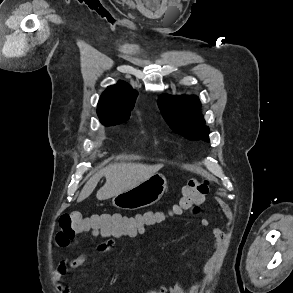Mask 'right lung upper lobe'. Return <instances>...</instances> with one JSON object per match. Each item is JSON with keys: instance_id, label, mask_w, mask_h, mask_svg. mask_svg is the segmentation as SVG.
Here are the masks:
<instances>
[{"instance_id": "1", "label": "right lung upper lobe", "mask_w": 293, "mask_h": 293, "mask_svg": "<svg viewBox=\"0 0 293 293\" xmlns=\"http://www.w3.org/2000/svg\"><path fill=\"white\" fill-rule=\"evenodd\" d=\"M137 92L127 83L120 81L109 86L102 94L98 103V116L100 119L116 116H129L134 107Z\"/></svg>"}]
</instances>
